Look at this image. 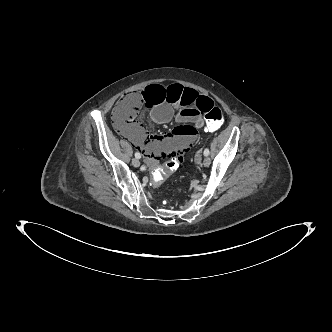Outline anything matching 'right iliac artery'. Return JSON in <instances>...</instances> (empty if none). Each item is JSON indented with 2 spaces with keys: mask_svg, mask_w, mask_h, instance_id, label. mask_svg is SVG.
Segmentation results:
<instances>
[{
  "mask_svg": "<svg viewBox=\"0 0 332 332\" xmlns=\"http://www.w3.org/2000/svg\"><path fill=\"white\" fill-rule=\"evenodd\" d=\"M135 157H136L137 159H140V158H141V154H140L139 152H136V153H135Z\"/></svg>",
  "mask_w": 332,
  "mask_h": 332,
  "instance_id": "right-iliac-artery-1",
  "label": "right iliac artery"
}]
</instances>
